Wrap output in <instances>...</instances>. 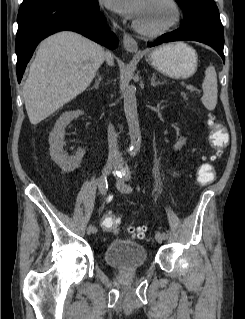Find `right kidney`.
<instances>
[{
    "instance_id": "obj_1",
    "label": "right kidney",
    "mask_w": 245,
    "mask_h": 319,
    "mask_svg": "<svg viewBox=\"0 0 245 319\" xmlns=\"http://www.w3.org/2000/svg\"><path fill=\"white\" fill-rule=\"evenodd\" d=\"M83 113L84 112L80 110L65 112L56 121L55 126L49 135L50 156L65 172H72L78 168L85 154L84 149H79L76 152V155L69 157L64 154L63 151L66 126Z\"/></svg>"
}]
</instances>
